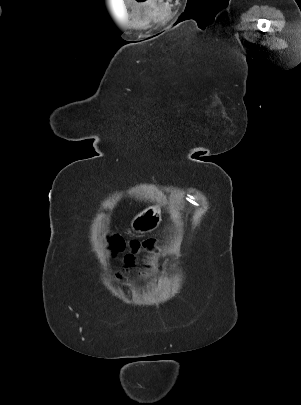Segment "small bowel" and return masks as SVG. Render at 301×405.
Segmentation results:
<instances>
[{"mask_svg": "<svg viewBox=\"0 0 301 405\" xmlns=\"http://www.w3.org/2000/svg\"><path fill=\"white\" fill-rule=\"evenodd\" d=\"M124 263H125V267H126V268H125V270H122V271H120V272L117 273V275H116L117 278H122V277L125 275L126 271L129 270V269L131 268V266L134 265L135 259H134L133 256H127V257L125 258Z\"/></svg>", "mask_w": 301, "mask_h": 405, "instance_id": "obj_1", "label": "small bowel"}]
</instances>
